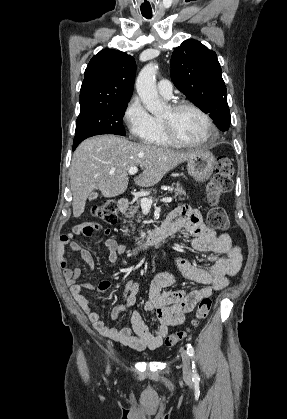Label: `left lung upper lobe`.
Segmentation results:
<instances>
[{
	"label": "left lung upper lobe",
	"mask_w": 287,
	"mask_h": 419,
	"mask_svg": "<svg viewBox=\"0 0 287 419\" xmlns=\"http://www.w3.org/2000/svg\"><path fill=\"white\" fill-rule=\"evenodd\" d=\"M171 79L196 107L208 113L221 131L231 123L227 90L216 53L194 39L173 51Z\"/></svg>",
	"instance_id": "1"
}]
</instances>
